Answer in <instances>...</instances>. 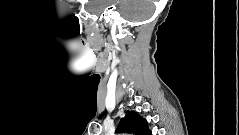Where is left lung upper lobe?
I'll return each mask as SVG.
<instances>
[{
  "label": "left lung upper lobe",
  "instance_id": "5c2ea615",
  "mask_svg": "<svg viewBox=\"0 0 239 135\" xmlns=\"http://www.w3.org/2000/svg\"><path fill=\"white\" fill-rule=\"evenodd\" d=\"M118 133H133L135 135H151L147 127V121L136 112H127L120 120L117 128Z\"/></svg>",
  "mask_w": 239,
  "mask_h": 135
}]
</instances>
